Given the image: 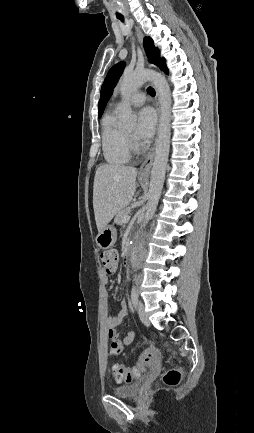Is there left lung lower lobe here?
Here are the masks:
<instances>
[{
	"instance_id": "0a47b994",
	"label": "left lung lower lobe",
	"mask_w": 254,
	"mask_h": 433,
	"mask_svg": "<svg viewBox=\"0 0 254 433\" xmlns=\"http://www.w3.org/2000/svg\"><path fill=\"white\" fill-rule=\"evenodd\" d=\"M163 71H164L165 73H167V74H168V69H167V68H166V69H164Z\"/></svg>"
}]
</instances>
